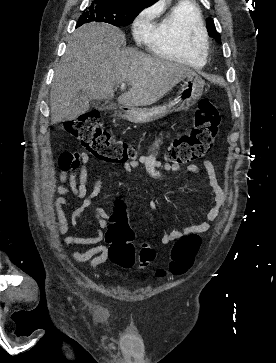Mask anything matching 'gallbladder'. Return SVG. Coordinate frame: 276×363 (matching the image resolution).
<instances>
[{"label": "gallbladder", "mask_w": 276, "mask_h": 363, "mask_svg": "<svg viewBox=\"0 0 276 363\" xmlns=\"http://www.w3.org/2000/svg\"><path fill=\"white\" fill-rule=\"evenodd\" d=\"M97 103V100L88 99L83 92L77 93L70 105V116L66 120H74L89 110L91 104Z\"/></svg>", "instance_id": "obj_1"}]
</instances>
